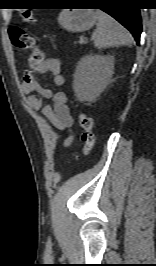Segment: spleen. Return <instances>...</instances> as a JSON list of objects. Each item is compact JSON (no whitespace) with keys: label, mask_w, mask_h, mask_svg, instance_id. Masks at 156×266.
<instances>
[{"label":"spleen","mask_w":156,"mask_h":266,"mask_svg":"<svg viewBox=\"0 0 156 266\" xmlns=\"http://www.w3.org/2000/svg\"><path fill=\"white\" fill-rule=\"evenodd\" d=\"M95 15L98 24L92 34V39L97 49L130 45V34L122 25L101 10H96Z\"/></svg>","instance_id":"obj_1"}]
</instances>
